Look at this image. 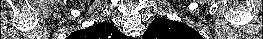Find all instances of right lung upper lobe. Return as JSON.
Masks as SVG:
<instances>
[{"instance_id":"obj_1","label":"right lung upper lobe","mask_w":263,"mask_h":39,"mask_svg":"<svg viewBox=\"0 0 263 39\" xmlns=\"http://www.w3.org/2000/svg\"><path fill=\"white\" fill-rule=\"evenodd\" d=\"M84 39H123L125 37L112 23H100L79 31Z\"/></svg>"}]
</instances>
